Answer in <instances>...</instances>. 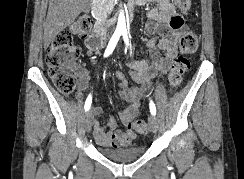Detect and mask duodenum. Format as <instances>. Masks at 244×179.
I'll return each mask as SVG.
<instances>
[{
	"instance_id": "410a0bca",
	"label": "duodenum",
	"mask_w": 244,
	"mask_h": 179,
	"mask_svg": "<svg viewBox=\"0 0 244 179\" xmlns=\"http://www.w3.org/2000/svg\"><path fill=\"white\" fill-rule=\"evenodd\" d=\"M129 16H132L135 13V8L130 7L127 10ZM107 38L105 36V31L103 30L101 18L98 15L96 21V28L94 33L89 37V43L95 48H101L106 44Z\"/></svg>"
}]
</instances>
